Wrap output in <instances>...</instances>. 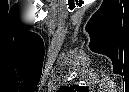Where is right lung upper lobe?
<instances>
[{
  "label": "right lung upper lobe",
  "mask_w": 129,
  "mask_h": 92,
  "mask_svg": "<svg viewBox=\"0 0 129 92\" xmlns=\"http://www.w3.org/2000/svg\"><path fill=\"white\" fill-rule=\"evenodd\" d=\"M73 90H81V87L73 85V86H61L58 92H72Z\"/></svg>",
  "instance_id": "1"
}]
</instances>
